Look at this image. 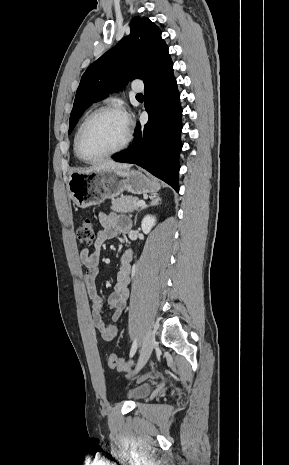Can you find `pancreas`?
<instances>
[{"label":"pancreas","mask_w":289,"mask_h":465,"mask_svg":"<svg viewBox=\"0 0 289 465\" xmlns=\"http://www.w3.org/2000/svg\"><path fill=\"white\" fill-rule=\"evenodd\" d=\"M138 201L139 199L136 197L121 196L112 200L111 209L118 213L133 212L134 210L139 209V206L137 205Z\"/></svg>","instance_id":"pancreas-1"}]
</instances>
